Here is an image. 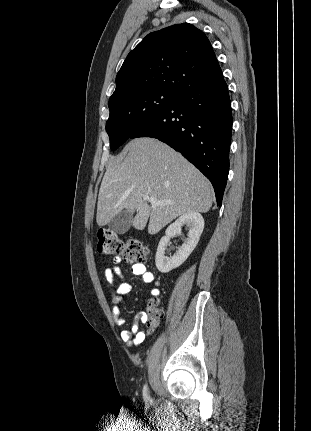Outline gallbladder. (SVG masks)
<instances>
[{"instance_id":"gallbladder-1","label":"gallbladder","mask_w":311,"mask_h":431,"mask_svg":"<svg viewBox=\"0 0 311 431\" xmlns=\"http://www.w3.org/2000/svg\"><path fill=\"white\" fill-rule=\"evenodd\" d=\"M133 221V214L129 212H119L117 216L112 217L108 223L109 229H113L115 233H125L130 229V225Z\"/></svg>"}]
</instances>
